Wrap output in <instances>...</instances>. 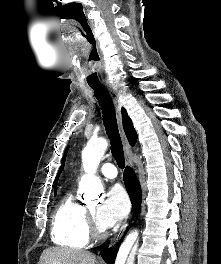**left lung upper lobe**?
Masks as SVG:
<instances>
[{"label":"left lung upper lobe","mask_w":221,"mask_h":264,"mask_svg":"<svg viewBox=\"0 0 221 264\" xmlns=\"http://www.w3.org/2000/svg\"><path fill=\"white\" fill-rule=\"evenodd\" d=\"M67 150H68V148L66 149L65 154H64V156H63L62 165H61V167H60L59 173L62 171V168H63V166H64V163H65V157H66ZM56 180H57V179H56ZM54 184H55V186H54V193L56 194V182H55Z\"/></svg>","instance_id":"5c2ea615"}]
</instances>
